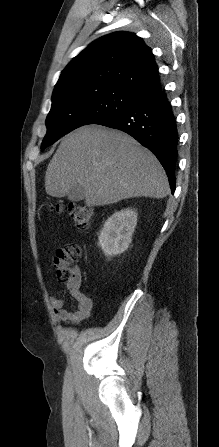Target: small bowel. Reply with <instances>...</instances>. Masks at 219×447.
<instances>
[{
  "label": "small bowel",
  "instance_id": "small-bowel-1",
  "mask_svg": "<svg viewBox=\"0 0 219 447\" xmlns=\"http://www.w3.org/2000/svg\"><path fill=\"white\" fill-rule=\"evenodd\" d=\"M81 279L76 286L67 284L71 296L77 301V309L69 310L64 301L58 297L51 298V305L57 318L63 322L76 324L87 319L93 307V301L80 290Z\"/></svg>",
  "mask_w": 219,
  "mask_h": 447
}]
</instances>
